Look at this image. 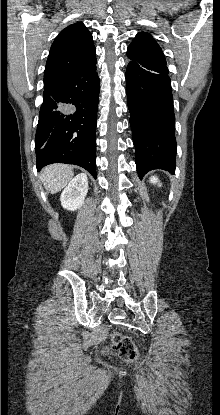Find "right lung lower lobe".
<instances>
[{
  "instance_id": "obj_1",
  "label": "right lung lower lobe",
  "mask_w": 220,
  "mask_h": 415,
  "mask_svg": "<svg viewBox=\"0 0 220 415\" xmlns=\"http://www.w3.org/2000/svg\"><path fill=\"white\" fill-rule=\"evenodd\" d=\"M100 81L96 62L44 83L35 137L37 170L75 164L96 179V125Z\"/></svg>"
}]
</instances>
